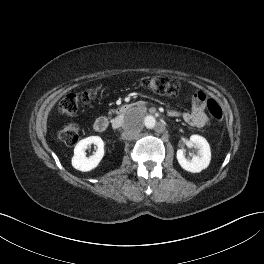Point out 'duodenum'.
<instances>
[{
  "label": "duodenum",
  "mask_w": 264,
  "mask_h": 264,
  "mask_svg": "<svg viewBox=\"0 0 264 264\" xmlns=\"http://www.w3.org/2000/svg\"><path fill=\"white\" fill-rule=\"evenodd\" d=\"M134 106H136L135 104H128V105H124L119 109V114L122 115L124 113H126L128 110H130L131 108H133ZM151 113H155L154 109L150 110ZM110 124V120L108 117L106 116H102L99 117L95 122H94V130L96 132H104Z\"/></svg>",
  "instance_id": "duodenum-1"
}]
</instances>
